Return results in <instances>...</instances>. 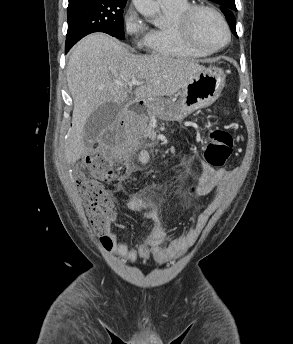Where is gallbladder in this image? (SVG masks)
<instances>
[{
	"instance_id": "gallbladder-1",
	"label": "gallbladder",
	"mask_w": 293,
	"mask_h": 344,
	"mask_svg": "<svg viewBox=\"0 0 293 344\" xmlns=\"http://www.w3.org/2000/svg\"><path fill=\"white\" fill-rule=\"evenodd\" d=\"M120 111V105L107 102L99 106L87 119L84 127L85 140H96L102 131L113 124Z\"/></svg>"
}]
</instances>
